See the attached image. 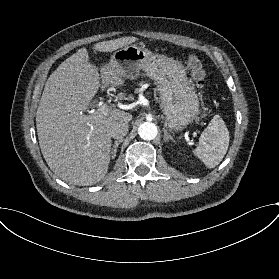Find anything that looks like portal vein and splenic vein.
<instances>
[{
	"label": "portal vein and splenic vein",
	"instance_id": "18ae733b",
	"mask_svg": "<svg viewBox=\"0 0 279 279\" xmlns=\"http://www.w3.org/2000/svg\"><path fill=\"white\" fill-rule=\"evenodd\" d=\"M124 106H121V108H123ZM96 108L98 109V112L100 114H107L108 110L102 105V103H99L96 105ZM96 112V110H92L91 113Z\"/></svg>",
	"mask_w": 279,
	"mask_h": 279
}]
</instances>
